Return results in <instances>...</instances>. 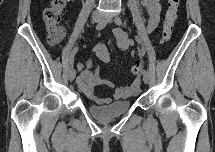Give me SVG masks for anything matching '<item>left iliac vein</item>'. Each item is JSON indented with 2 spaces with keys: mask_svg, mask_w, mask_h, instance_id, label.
Masks as SVG:
<instances>
[{
  "mask_svg": "<svg viewBox=\"0 0 215 152\" xmlns=\"http://www.w3.org/2000/svg\"><path fill=\"white\" fill-rule=\"evenodd\" d=\"M104 20L111 22L112 17L110 15H105ZM144 72H145V75L143 76V81H144V83L147 84L150 80V72L148 70H145Z\"/></svg>",
  "mask_w": 215,
  "mask_h": 152,
  "instance_id": "obj_1",
  "label": "left iliac vein"
}]
</instances>
